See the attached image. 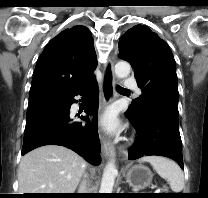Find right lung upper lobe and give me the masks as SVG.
Instances as JSON below:
<instances>
[{
	"label": "right lung upper lobe",
	"instance_id": "1",
	"mask_svg": "<svg viewBox=\"0 0 208 198\" xmlns=\"http://www.w3.org/2000/svg\"><path fill=\"white\" fill-rule=\"evenodd\" d=\"M96 53L90 30L65 29L41 53L30 88L29 104L67 96L95 77Z\"/></svg>",
	"mask_w": 208,
	"mask_h": 198
}]
</instances>
